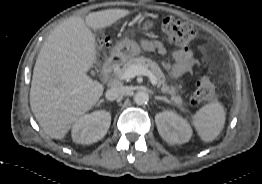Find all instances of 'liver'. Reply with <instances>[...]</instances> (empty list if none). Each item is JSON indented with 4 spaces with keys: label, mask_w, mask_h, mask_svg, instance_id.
Returning <instances> with one entry per match:
<instances>
[{
    "label": "liver",
    "mask_w": 262,
    "mask_h": 184,
    "mask_svg": "<svg viewBox=\"0 0 262 184\" xmlns=\"http://www.w3.org/2000/svg\"><path fill=\"white\" fill-rule=\"evenodd\" d=\"M125 9L72 16L44 42L33 70L31 110L44 132L62 140L72 124L102 96L104 87L87 75L96 62V39L89 28L104 29L129 15Z\"/></svg>",
    "instance_id": "6515ba94"
}]
</instances>
